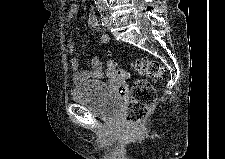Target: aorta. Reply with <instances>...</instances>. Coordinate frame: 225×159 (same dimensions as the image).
I'll list each match as a JSON object with an SVG mask.
<instances>
[{
  "instance_id": "obj_1",
  "label": "aorta",
  "mask_w": 225,
  "mask_h": 159,
  "mask_svg": "<svg viewBox=\"0 0 225 159\" xmlns=\"http://www.w3.org/2000/svg\"><path fill=\"white\" fill-rule=\"evenodd\" d=\"M95 4L97 7H106L107 6V0H96Z\"/></svg>"
}]
</instances>
